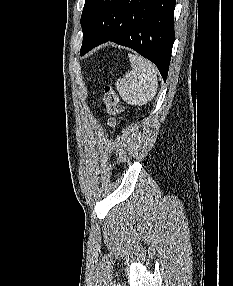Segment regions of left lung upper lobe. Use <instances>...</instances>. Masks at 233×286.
<instances>
[{"label": "left lung upper lobe", "instance_id": "obj_1", "mask_svg": "<svg viewBox=\"0 0 233 286\" xmlns=\"http://www.w3.org/2000/svg\"><path fill=\"white\" fill-rule=\"evenodd\" d=\"M94 2H95V0H85V5H84L83 12H82V16H81V26H82V29H83V27H84L85 24H86L88 15H89V13H90V11H91V7H92V5H93Z\"/></svg>", "mask_w": 233, "mask_h": 286}]
</instances>
